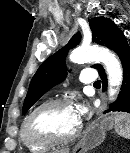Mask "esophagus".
I'll use <instances>...</instances> for the list:
<instances>
[{
    "instance_id": "obj_1",
    "label": "esophagus",
    "mask_w": 130,
    "mask_h": 153,
    "mask_svg": "<svg viewBox=\"0 0 130 153\" xmlns=\"http://www.w3.org/2000/svg\"><path fill=\"white\" fill-rule=\"evenodd\" d=\"M105 109V98L102 97V103L100 105V107L98 108L97 112H96V117L99 119L102 115V112Z\"/></svg>"
}]
</instances>
